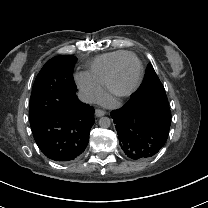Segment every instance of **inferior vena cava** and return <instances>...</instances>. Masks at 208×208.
<instances>
[{
	"mask_svg": "<svg viewBox=\"0 0 208 208\" xmlns=\"http://www.w3.org/2000/svg\"><path fill=\"white\" fill-rule=\"evenodd\" d=\"M78 98L80 101L84 103H89V104L93 103V96L91 95L90 92L80 90L78 92Z\"/></svg>",
	"mask_w": 208,
	"mask_h": 208,
	"instance_id": "602c4592",
	"label": "inferior vena cava"
}]
</instances>
